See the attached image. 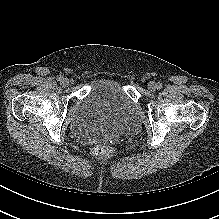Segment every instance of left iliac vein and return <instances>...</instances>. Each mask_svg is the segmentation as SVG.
<instances>
[{
  "label": "left iliac vein",
  "instance_id": "4c4485c4",
  "mask_svg": "<svg viewBox=\"0 0 219 219\" xmlns=\"http://www.w3.org/2000/svg\"><path fill=\"white\" fill-rule=\"evenodd\" d=\"M156 88H157V84H156L154 81H150V82L148 83V89H149L150 91H154Z\"/></svg>",
  "mask_w": 219,
  "mask_h": 219
}]
</instances>
